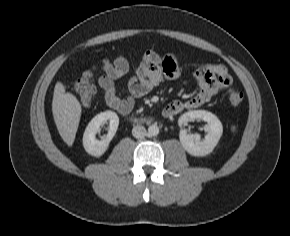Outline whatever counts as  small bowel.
<instances>
[{
    "label": "small bowel",
    "instance_id": "obj_1",
    "mask_svg": "<svg viewBox=\"0 0 290 236\" xmlns=\"http://www.w3.org/2000/svg\"><path fill=\"white\" fill-rule=\"evenodd\" d=\"M132 71L128 84V95L120 97L115 88L117 79ZM187 72V68L179 65L173 53L160 55L153 50L146 51L139 63H129L123 57H117L112 62L102 66V75L98 77L106 104L122 115L130 113L135 99L152 91L163 80H176ZM194 77L198 83L197 93L186 101L174 100L168 103L163 116L173 117L185 110L195 109L209 102L219 91L231 86L232 78L225 65L204 62L195 69Z\"/></svg>",
    "mask_w": 290,
    "mask_h": 236
}]
</instances>
